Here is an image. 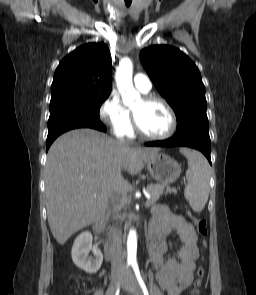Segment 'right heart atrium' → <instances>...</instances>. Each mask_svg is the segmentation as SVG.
Segmentation results:
<instances>
[{
    "mask_svg": "<svg viewBox=\"0 0 256 295\" xmlns=\"http://www.w3.org/2000/svg\"><path fill=\"white\" fill-rule=\"evenodd\" d=\"M99 115L117 136L125 134L131 126L130 113L115 93L110 94L102 103Z\"/></svg>",
    "mask_w": 256,
    "mask_h": 295,
    "instance_id": "right-heart-atrium-1",
    "label": "right heart atrium"
}]
</instances>
